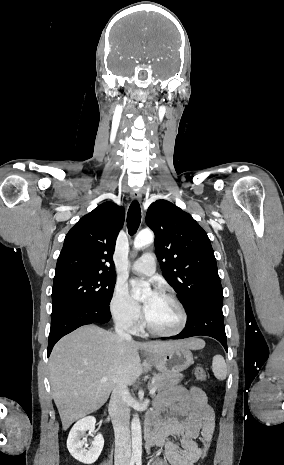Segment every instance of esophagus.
<instances>
[{"mask_svg":"<svg viewBox=\"0 0 284 465\" xmlns=\"http://www.w3.org/2000/svg\"><path fill=\"white\" fill-rule=\"evenodd\" d=\"M130 197H131L132 200H137L138 201V200H141L142 195H141V192L131 191L130 192Z\"/></svg>","mask_w":284,"mask_h":465,"instance_id":"esophagus-1","label":"esophagus"}]
</instances>
